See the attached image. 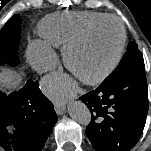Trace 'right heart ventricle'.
Returning a JSON list of instances; mask_svg holds the SVG:
<instances>
[{"label":"right heart ventricle","instance_id":"e07e8e85","mask_svg":"<svg viewBox=\"0 0 151 151\" xmlns=\"http://www.w3.org/2000/svg\"><path fill=\"white\" fill-rule=\"evenodd\" d=\"M107 16L93 11H65L43 18L38 31L44 42L54 47H64L92 22Z\"/></svg>","mask_w":151,"mask_h":151}]
</instances>
